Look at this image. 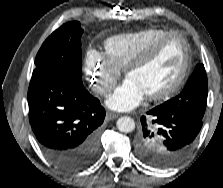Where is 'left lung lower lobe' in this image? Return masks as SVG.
Segmentation results:
<instances>
[{"mask_svg": "<svg viewBox=\"0 0 223 188\" xmlns=\"http://www.w3.org/2000/svg\"><path fill=\"white\" fill-rule=\"evenodd\" d=\"M151 121L141 118L142 128L136 139L139 158L155 167H170L190 152L202 127V119L170 114L159 106L147 112ZM153 125V126H152Z\"/></svg>", "mask_w": 223, "mask_h": 188, "instance_id": "left-lung-lower-lobe-1", "label": "left lung lower lobe"}]
</instances>
